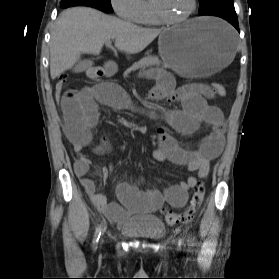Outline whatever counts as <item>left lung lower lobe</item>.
<instances>
[{
    "label": "left lung lower lobe",
    "mask_w": 279,
    "mask_h": 279,
    "mask_svg": "<svg viewBox=\"0 0 279 279\" xmlns=\"http://www.w3.org/2000/svg\"><path fill=\"white\" fill-rule=\"evenodd\" d=\"M199 15L200 16L212 15V16H217V17L223 18V19L227 20L230 24H232L237 29L238 32H240L239 25H238V19H237V15H236L234 6L217 7L206 13L199 14Z\"/></svg>",
    "instance_id": "1"
}]
</instances>
